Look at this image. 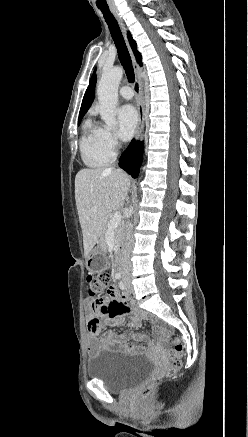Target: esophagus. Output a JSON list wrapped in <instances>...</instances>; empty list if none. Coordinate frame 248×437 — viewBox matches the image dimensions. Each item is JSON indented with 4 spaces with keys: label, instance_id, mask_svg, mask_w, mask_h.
<instances>
[{
    "label": "esophagus",
    "instance_id": "34e87169",
    "mask_svg": "<svg viewBox=\"0 0 248 437\" xmlns=\"http://www.w3.org/2000/svg\"><path fill=\"white\" fill-rule=\"evenodd\" d=\"M115 17L120 25V28L122 30L123 35L125 36V39L127 41V28L121 18V16H119L117 11H114ZM128 47H129V51L131 54V58H132V63H133V67H134V71H135V82H134V92L136 95V101H137V110H138V127L136 130V134H135V138L136 140L140 138L141 133L143 131V127H144V121H145V110H144V100H143V92H142V81H141V77H140V73H141V68L138 65L134 54L129 46V43L127 41Z\"/></svg>",
    "mask_w": 248,
    "mask_h": 437
}]
</instances>
